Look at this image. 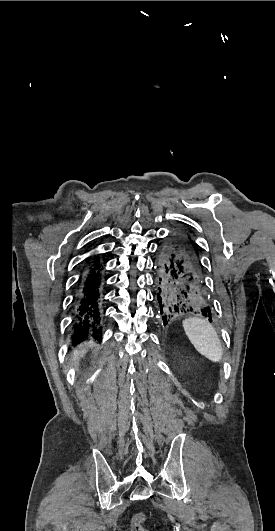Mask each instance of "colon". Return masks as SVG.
I'll use <instances>...</instances> for the list:
<instances>
[{"mask_svg":"<svg viewBox=\"0 0 275 531\" xmlns=\"http://www.w3.org/2000/svg\"><path fill=\"white\" fill-rule=\"evenodd\" d=\"M146 521V515L144 513H140L135 515L130 524V531H146L143 524Z\"/></svg>","mask_w":275,"mask_h":531,"instance_id":"1","label":"colon"}]
</instances>
